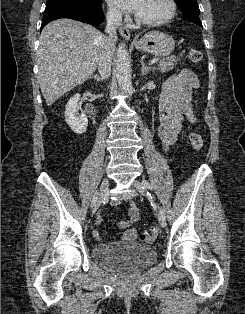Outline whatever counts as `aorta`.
<instances>
[{"mask_svg":"<svg viewBox=\"0 0 245 314\" xmlns=\"http://www.w3.org/2000/svg\"><path fill=\"white\" fill-rule=\"evenodd\" d=\"M115 69L119 87L131 95L134 91L131 81V63L124 44L117 49Z\"/></svg>","mask_w":245,"mask_h":314,"instance_id":"762f6f07","label":"aorta"}]
</instances>
